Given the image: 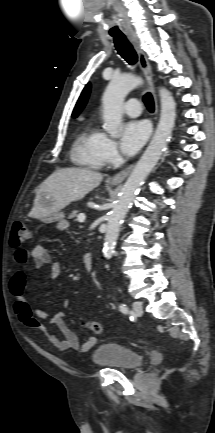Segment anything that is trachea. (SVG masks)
Segmentation results:
<instances>
[{
	"label": "trachea",
	"instance_id": "obj_1",
	"mask_svg": "<svg viewBox=\"0 0 215 433\" xmlns=\"http://www.w3.org/2000/svg\"><path fill=\"white\" fill-rule=\"evenodd\" d=\"M114 43L119 55L124 58L130 65L137 62V54L132 44L128 41L125 35H114ZM143 101L149 111L154 110V100L150 93L143 96Z\"/></svg>",
	"mask_w": 215,
	"mask_h": 433
}]
</instances>
